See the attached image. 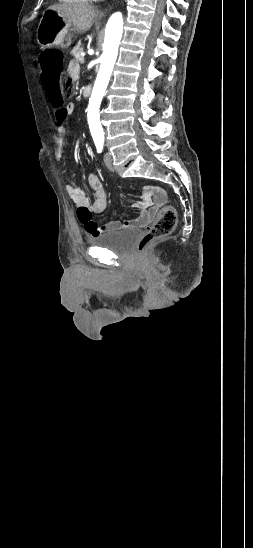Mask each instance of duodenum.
<instances>
[{"label":"duodenum","instance_id":"1","mask_svg":"<svg viewBox=\"0 0 253 548\" xmlns=\"http://www.w3.org/2000/svg\"><path fill=\"white\" fill-rule=\"evenodd\" d=\"M91 92H92L91 86L87 85V86L84 87V89H83L84 96H86V97L90 96Z\"/></svg>","mask_w":253,"mask_h":548}]
</instances>
